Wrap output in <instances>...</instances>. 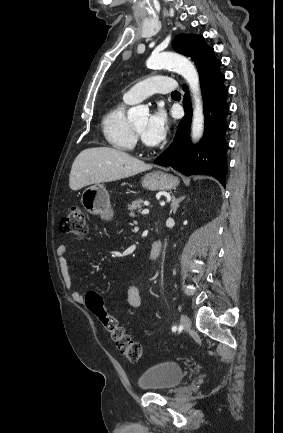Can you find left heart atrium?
I'll return each mask as SVG.
<instances>
[{
  "instance_id": "1",
  "label": "left heart atrium",
  "mask_w": 283,
  "mask_h": 433,
  "mask_svg": "<svg viewBox=\"0 0 283 433\" xmlns=\"http://www.w3.org/2000/svg\"><path fill=\"white\" fill-rule=\"evenodd\" d=\"M169 131V123L162 108L158 107L149 117L142 132V141L149 150L157 149L165 140Z\"/></svg>"
}]
</instances>
